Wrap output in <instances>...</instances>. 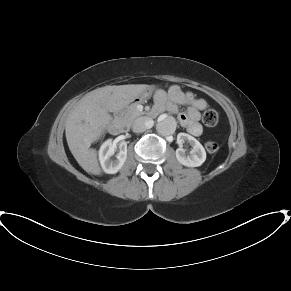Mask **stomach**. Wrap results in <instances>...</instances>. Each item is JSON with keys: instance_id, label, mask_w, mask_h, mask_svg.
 Here are the masks:
<instances>
[{"instance_id": "0dacf381", "label": "stomach", "mask_w": 291, "mask_h": 291, "mask_svg": "<svg viewBox=\"0 0 291 291\" xmlns=\"http://www.w3.org/2000/svg\"><path fill=\"white\" fill-rule=\"evenodd\" d=\"M154 91V87H148L142 94H141V98L142 99H145V98H148L152 92Z\"/></svg>"}]
</instances>
